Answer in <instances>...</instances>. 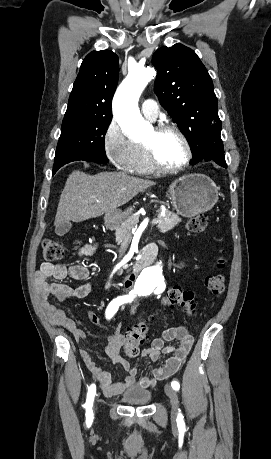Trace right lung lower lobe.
<instances>
[{"label":"right lung lower lobe","instance_id":"right-lung-lower-lobe-1","mask_svg":"<svg viewBox=\"0 0 271 459\" xmlns=\"http://www.w3.org/2000/svg\"><path fill=\"white\" fill-rule=\"evenodd\" d=\"M78 160L96 162V163H102V164H106L107 163V161H104V160L99 159V158L94 157V156H89V155H84V154H74V155L67 156V157H65L63 159H60V160L54 162L53 175L63 165H65V164H67L69 162L78 161Z\"/></svg>","mask_w":271,"mask_h":459}]
</instances>
